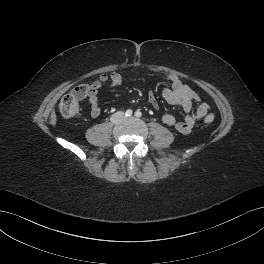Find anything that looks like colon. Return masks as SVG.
I'll list each match as a JSON object with an SVG mask.
<instances>
[{
	"label": "colon",
	"instance_id": "1",
	"mask_svg": "<svg viewBox=\"0 0 264 264\" xmlns=\"http://www.w3.org/2000/svg\"><path fill=\"white\" fill-rule=\"evenodd\" d=\"M88 92L89 85H81L65 95L59 104L62 115L65 117L75 116L79 111L80 101L87 96ZM204 121L207 124H211L214 121V116L209 114L205 117Z\"/></svg>",
	"mask_w": 264,
	"mask_h": 264
}]
</instances>
